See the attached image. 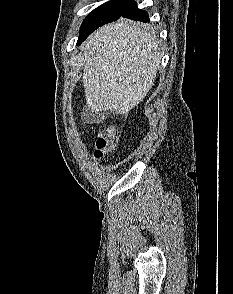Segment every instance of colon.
Segmentation results:
<instances>
[{
    "label": "colon",
    "mask_w": 233,
    "mask_h": 294,
    "mask_svg": "<svg viewBox=\"0 0 233 294\" xmlns=\"http://www.w3.org/2000/svg\"><path fill=\"white\" fill-rule=\"evenodd\" d=\"M115 146V129L109 127L104 132L100 133L95 141L94 155L97 159L102 158L108 151Z\"/></svg>",
    "instance_id": "obj_1"
}]
</instances>
